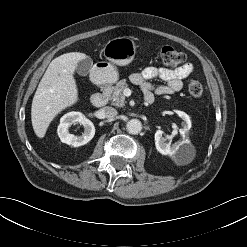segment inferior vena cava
<instances>
[{
  "label": "inferior vena cava",
  "instance_id": "obj_1",
  "mask_svg": "<svg viewBox=\"0 0 247 247\" xmlns=\"http://www.w3.org/2000/svg\"><path fill=\"white\" fill-rule=\"evenodd\" d=\"M101 113L105 118H108V119L115 118L118 114L116 109H114L113 107H109V106L103 107L101 109Z\"/></svg>",
  "mask_w": 247,
  "mask_h": 247
}]
</instances>
